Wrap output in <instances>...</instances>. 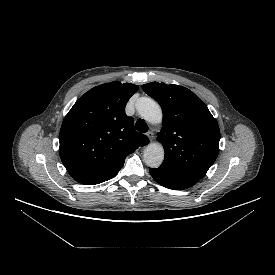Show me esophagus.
Listing matches in <instances>:
<instances>
[{
  "instance_id": "obj_1",
  "label": "esophagus",
  "mask_w": 275,
  "mask_h": 275,
  "mask_svg": "<svg viewBox=\"0 0 275 275\" xmlns=\"http://www.w3.org/2000/svg\"><path fill=\"white\" fill-rule=\"evenodd\" d=\"M146 136L148 137L149 141L152 142L154 138V133L152 131H149L146 133Z\"/></svg>"
}]
</instances>
